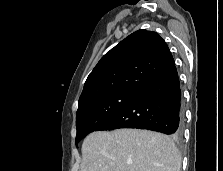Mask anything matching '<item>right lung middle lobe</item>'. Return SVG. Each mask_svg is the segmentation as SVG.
<instances>
[{"label":"right lung middle lobe","mask_w":223,"mask_h":171,"mask_svg":"<svg viewBox=\"0 0 223 171\" xmlns=\"http://www.w3.org/2000/svg\"><path fill=\"white\" fill-rule=\"evenodd\" d=\"M137 92H115L96 98L79 107L76 114V145L89 133L113 118L126 107Z\"/></svg>","instance_id":"dd1d6c3e"}]
</instances>
